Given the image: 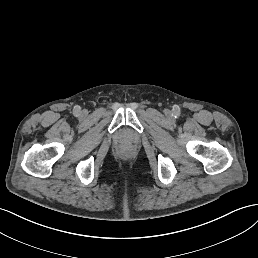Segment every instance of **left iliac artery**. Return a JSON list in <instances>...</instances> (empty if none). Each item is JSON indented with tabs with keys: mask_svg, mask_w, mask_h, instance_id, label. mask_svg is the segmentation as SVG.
<instances>
[{
	"mask_svg": "<svg viewBox=\"0 0 258 258\" xmlns=\"http://www.w3.org/2000/svg\"><path fill=\"white\" fill-rule=\"evenodd\" d=\"M181 115V112H180V109H177L173 112L172 116L175 118V119H178Z\"/></svg>",
	"mask_w": 258,
	"mask_h": 258,
	"instance_id": "44dca946",
	"label": "left iliac artery"
}]
</instances>
